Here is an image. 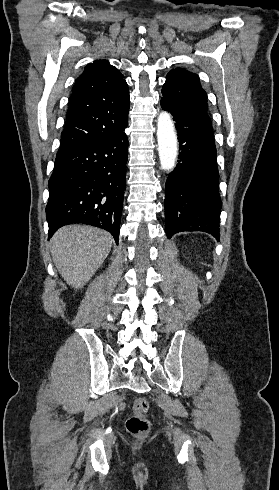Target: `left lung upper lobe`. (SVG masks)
<instances>
[{"label": "left lung upper lobe", "instance_id": "left-lung-upper-lobe-1", "mask_svg": "<svg viewBox=\"0 0 279 490\" xmlns=\"http://www.w3.org/2000/svg\"><path fill=\"white\" fill-rule=\"evenodd\" d=\"M163 98L170 103L201 115H208L207 94L199 77L184 69L171 70L162 88Z\"/></svg>", "mask_w": 279, "mask_h": 490}]
</instances>
